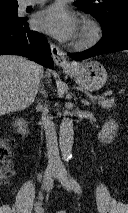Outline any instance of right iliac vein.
Returning a JSON list of instances; mask_svg holds the SVG:
<instances>
[{"label": "right iliac vein", "instance_id": "1", "mask_svg": "<svg viewBox=\"0 0 128 213\" xmlns=\"http://www.w3.org/2000/svg\"><path fill=\"white\" fill-rule=\"evenodd\" d=\"M58 172V168L54 166H49L44 175V188H46L47 183L49 180Z\"/></svg>", "mask_w": 128, "mask_h": 213}]
</instances>
